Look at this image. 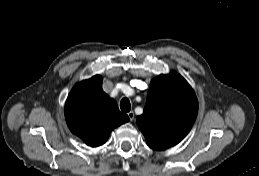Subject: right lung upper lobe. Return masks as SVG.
<instances>
[{"label":"right lung upper lobe","instance_id":"cb5924a9","mask_svg":"<svg viewBox=\"0 0 259 176\" xmlns=\"http://www.w3.org/2000/svg\"><path fill=\"white\" fill-rule=\"evenodd\" d=\"M65 118L72 133L91 147L104 144L114 128L129 121L103 92L100 75L74 86L66 100Z\"/></svg>","mask_w":259,"mask_h":176}]
</instances>
